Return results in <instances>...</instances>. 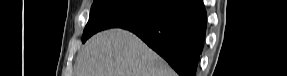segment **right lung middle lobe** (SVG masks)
<instances>
[{
  "instance_id": "dd1d6c3e",
  "label": "right lung middle lobe",
  "mask_w": 287,
  "mask_h": 76,
  "mask_svg": "<svg viewBox=\"0 0 287 76\" xmlns=\"http://www.w3.org/2000/svg\"><path fill=\"white\" fill-rule=\"evenodd\" d=\"M171 0H94L82 41L109 28L129 29L150 21Z\"/></svg>"
}]
</instances>
